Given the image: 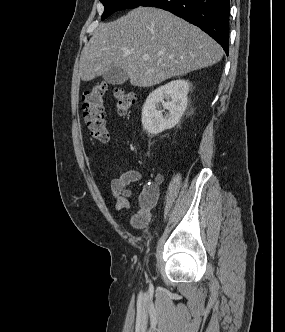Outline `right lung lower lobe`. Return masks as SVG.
I'll use <instances>...</instances> for the list:
<instances>
[{"label":"right lung lower lobe","instance_id":"1","mask_svg":"<svg viewBox=\"0 0 285 332\" xmlns=\"http://www.w3.org/2000/svg\"><path fill=\"white\" fill-rule=\"evenodd\" d=\"M142 6L170 11L198 26L215 39L228 55L229 0H147Z\"/></svg>","mask_w":285,"mask_h":332}]
</instances>
